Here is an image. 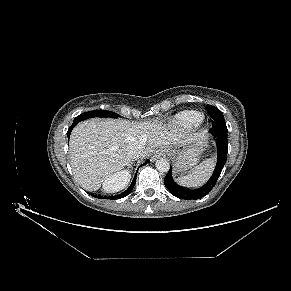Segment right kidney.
I'll return each mask as SVG.
<instances>
[{
	"instance_id": "ca27d5eb",
	"label": "right kidney",
	"mask_w": 291,
	"mask_h": 291,
	"mask_svg": "<svg viewBox=\"0 0 291 291\" xmlns=\"http://www.w3.org/2000/svg\"><path fill=\"white\" fill-rule=\"evenodd\" d=\"M130 179L129 171H120L107 178L103 183V190L115 192L122 189Z\"/></svg>"
}]
</instances>
